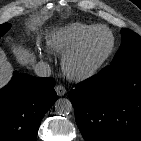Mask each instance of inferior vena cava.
Returning <instances> with one entry per match:
<instances>
[{
    "instance_id": "inferior-vena-cava-1",
    "label": "inferior vena cava",
    "mask_w": 141,
    "mask_h": 141,
    "mask_svg": "<svg viewBox=\"0 0 141 141\" xmlns=\"http://www.w3.org/2000/svg\"><path fill=\"white\" fill-rule=\"evenodd\" d=\"M34 72L39 77H49L51 75V67L46 62H38L34 66Z\"/></svg>"
}]
</instances>
